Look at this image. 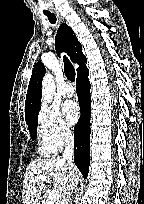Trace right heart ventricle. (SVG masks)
I'll return each instance as SVG.
<instances>
[{
  "instance_id": "obj_1",
  "label": "right heart ventricle",
  "mask_w": 144,
  "mask_h": 204,
  "mask_svg": "<svg viewBox=\"0 0 144 204\" xmlns=\"http://www.w3.org/2000/svg\"><path fill=\"white\" fill-rule=\"evenodd\" d=\"M40 152H41L43 155H49V154H51L50 151L46 150V149L43 148L42 146H41V148H40Z\"/></svg>"
}]
</instances>
